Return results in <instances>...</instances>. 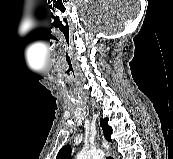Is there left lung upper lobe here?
I'll use <instances>...</instances> for the list:
<instances>
[{
	"label": "left lung upper lobe",
	"instance_id": "left-lung-upper-lobe-1",
	"mask_svg": "<svg viewBox=\"0 0 173 159\" xmlns=\"http://www.w3.org/2000/svg\"><path fill=\"white\" fill-rule=\"evenodd\" d=\"M100 125L102 127L105 139L107 141H111L110 136H111V133H112V129L108 125V118L101 119L100 120ZM56 159H71V146L70 145H66L63 148H61V150L57 154Z\"/></svg>",
	"mask_w": 173,
	"mask_h": 159
}]
</instances>
